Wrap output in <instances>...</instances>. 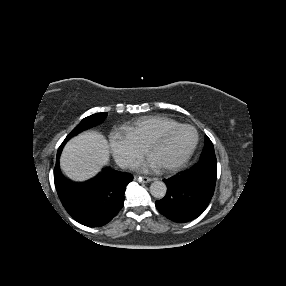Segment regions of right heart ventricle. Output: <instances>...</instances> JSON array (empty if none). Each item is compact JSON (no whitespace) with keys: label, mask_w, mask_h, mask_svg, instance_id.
I'll return each mask as SVG.
<instances>
[{"label":"right heart ventricle","mask_w":286,"mask_h":286,"mask_svg":"<svg viewBox=\"0 0 286 286\" xmlns=\"http://www.w3.org/2000/svg\"><path fill=\"white\" fill-rule=\"evenodd\" d=\"M180 125L182 124L168 117L146 116L132 122L125 129L137 142L145 147L153 137Z\"/></svg>","instance_id":"e07e8e85"}]
</instances>
